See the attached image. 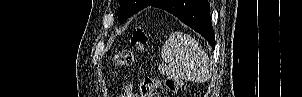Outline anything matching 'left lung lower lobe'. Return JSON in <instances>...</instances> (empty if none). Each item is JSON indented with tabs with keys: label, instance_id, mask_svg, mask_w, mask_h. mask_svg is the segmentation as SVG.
I'll use <instances>...</instances> for the list:
<instances>
[{
	"label": "left lung lower lobe",
	"instance_id": "0a47b994",
	"mask_svg": "<svg viewBox=\"0 0 302 97\" xmlns=\"http://www.w3.org/2000/svg\"><path fill=\"white\" fill-rule=\"evenodd\" d=\"M149 6L161 8L175 15L183 23L200 33L215 47V36L207 0H154Z\"/></svg>",
	"mask_w": 302,
	"mask_h": 97
}]
</instances>
